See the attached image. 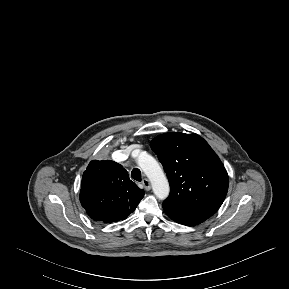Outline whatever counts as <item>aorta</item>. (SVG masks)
<instances>
[{
  "label": "aorta",
  "instance_id": "1",
  "mask_svg": "<svg viewBox=\"0 0 289 289\" xmlns=\"http://www.w3.org/2000/svg\"><path fill=\"white\" fill-rule=\"evenodd\" d=\"M138 165L151 182L157 198L164 200L169 195V183L159 163L145 151H140L137 157Z\"/></svg>",
  "mask_w": 289,
  "mask_h": 289
}]
</instances>
